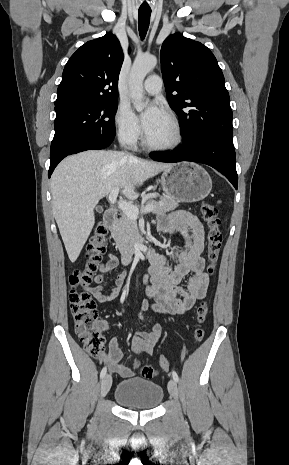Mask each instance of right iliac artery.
<instances>
[{"label":"right iliac artery","instance_id":"right-iliac-artery-1","mask_svg":"<svg viewBox=\"0 0 289 465\" xmlns=\"http://www.w3.org/2000/svg\"><path fill=\"white\" fill-rule=\"evenodd\" d=\"M106 372H107V368L104 367L102 370H101V373H100V378L103 379L104 376L106 375Z\"/></svg>","mask_w":289,"mask_h":465}]
</instances>
